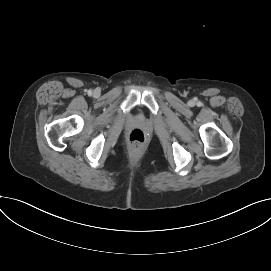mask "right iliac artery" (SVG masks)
Here are the masks:
<instances>
[{
	"label": "right iliac artery",
	"instance_id": "82829eb1",
	"mask_svg": "<svg viewBox=\"0 0 271 271\" xmlns=\"http://www.w3.org/2000/svg\"><path fill=\"white\" fill-rule=\"evenodd\" d=\"M88 94H89V95H91V94H92V91H91V90H89V91H88Z\"/></svg>",
	"mask_w": 271,
	"mask_h": 271
}]
</instances>
